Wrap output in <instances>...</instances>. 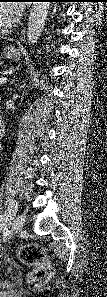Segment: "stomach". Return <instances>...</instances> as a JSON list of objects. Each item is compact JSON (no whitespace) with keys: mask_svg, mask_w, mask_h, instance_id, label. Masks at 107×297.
<instances>
[{"mask_svg":"<svg viewBox=\"0 0 107 297\" xmlns=\"http://www.w3.org/2000/svg\"><path fill=\"white\" fill-rule=\"evenodd\" d=\"M3 55L5 58L10 60H18L20 58V51L18 48L10 45L3 49Z\"/></svg>","mask_w":107,"mask_h":297,"instance_id":"stomach-1","label":"stomach"}]
</instances>
